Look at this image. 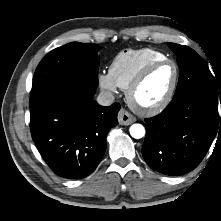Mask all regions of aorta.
<instances>
[{
  "label": "aorta",
  "mask_w": 221,
  "mask_h": 221,
  "mask_svg": "<svg viewBox=\"0 0 221 221\" xmlns=\"http://www.w3.org/2000/svg\"><path fill=\"white\" fill-rule=\"evenodd\" d=\"M129 131L130 135L135 139H140L145 135V128L141 124H133Z\"/></svg>",
  "instance_id": "1"
}]
</instances>
